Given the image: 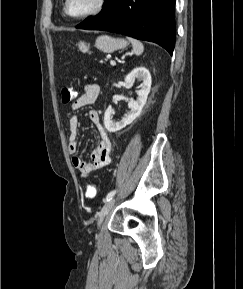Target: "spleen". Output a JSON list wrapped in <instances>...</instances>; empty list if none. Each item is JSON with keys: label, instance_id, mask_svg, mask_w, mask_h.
<instances>
[{"label": "spleen", "instance_id": "obj_1", "mask_svg": "<svg viewBox=\"0 0 243 289\" xmlns=\"http://www.w3.org/2000/svg\"><path fill=\"white\" fill-rule=\"evenodd\" d=\"M128 40L131 42V44L133 46L134 54L141 55L144 51L143 44L140 41L133 39V38H128Z\"/></svg>", "mask_w": 243, "mask_h": 289}]
</instances>
